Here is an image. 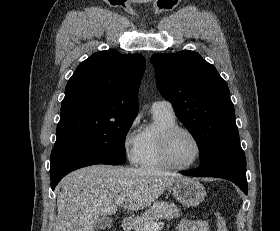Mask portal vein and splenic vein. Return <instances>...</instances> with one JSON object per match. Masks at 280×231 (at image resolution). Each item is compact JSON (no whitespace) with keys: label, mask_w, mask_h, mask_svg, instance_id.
I'll use <instances>...</instances> for the list:
<instances>
[{"label":"portal vein and splenic vein","mask_w":280,"mask_h":231,"mask_svg":"<svg viewBox=\"0 0 280 231\" xmlns=\"http://www.w3.org/2000/svg\"><path fill=\"white\" fill-rule=\"evenodd\" d=\"M124 201H125V197H122V199H119L117 203H119V205H122ZM163 225L164 223H162V221H159V223H147L146 229L147 231H155V229H162Z\"/></svg>","instance_id":"obj_1"}]
</instances>
